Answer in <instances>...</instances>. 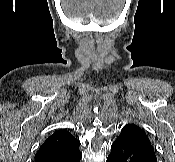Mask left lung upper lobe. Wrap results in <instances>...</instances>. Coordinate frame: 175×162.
<instances>
[{
	"mask_svg": "<svg viewBox=\"0 0 175 162\" xmlns=\"http://www.w3.org/2000/svg\"><path fill=\"white\" fill-rule=\"evenodd\" d=\"M120 135H129L136 139L149 141V138L146 135V133L141 128H139L134 124H128L124 126L123 129L121 130Z\"/></svg>",
	"mask_w": 175,
	"mask_h": 162,
	"instance_id": "left-lung-upper-lobe-1",
	"label": "left lung upper lobe"
}]
</instances>
